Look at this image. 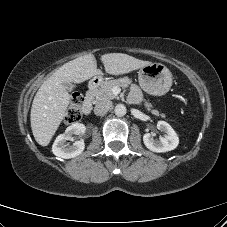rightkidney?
<instances>
[{"label": "right kidney", "instance_id": "right-kidney-1", "mask_svg": "<svg viewBox=\"0 0 227 227\" xmlns=\"http://www.w3.org/2000/svg\"><path fill=\"white\" fill-rule=\"evenodd\" d=\"M85 126L81 123H75L67 127L63 134H60L54 141L52 146V152L57 157L64 159L74 158L80 155L84 148V141H75L72 145L66 143V141H73V135H82L85 133Z\"/></svg>", "mask_w": 227, "mask_h": 227}]
</instances>
